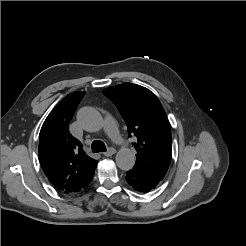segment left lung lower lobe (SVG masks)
Instances as JSON below:
<instances>
[{"mask_svg":"<svg viewBox=\"0 0 246 246\" xmlns=\"http://www.w3.org/2000/svg\"><path fill=\"white\" fill-rule=\"evenodd\" d=\"M126 180L134 190L144 193L154 189L161 181L149 172L136 166L127 172Z\"/></svg>","mask_w":246,"mask_h":246,"instance_id":"obj_1","label":"left lung lower lobe"}]
</instances>
